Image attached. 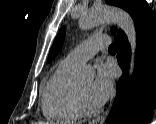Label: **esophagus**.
<instances>
[{
    "mask_svg": "<svg viewBox=\"0 0 156 124\" xmlns=\"http://www.w3.org/2000/svg\"><path fill=\"white\" fill-rule=\"evenodd\" d=\"M107 114V113H106ZM106 114L94 119L91 124H102L105 120Z\"/></svg>",
    "mask_w": 156,
    "mask_h": 124,
    "instance_id": "esophagus-1",
    "label": "esophagus"
}]
</instances>
